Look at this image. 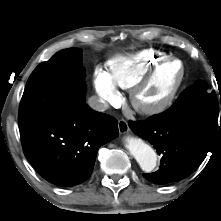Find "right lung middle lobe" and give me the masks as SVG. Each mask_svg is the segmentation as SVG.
Listing matches in <instances>:
<instances>
[{"instance_id":"dd1d6c3e","label":"right lung middle lobe","mask_w":221,"mask_h":221,"mask_svg":"<svg viewBox=\"0 0 221 221\" xmlns=\"http://www.w3.org/2000/svg\"><path fill=\"white\" fill-rule=\"evenodd\" d=\"M81 52L80 48L59 51L32 72L19 107L20 131L49 120L86 94Z\"/></svg>"}]
</instances>
